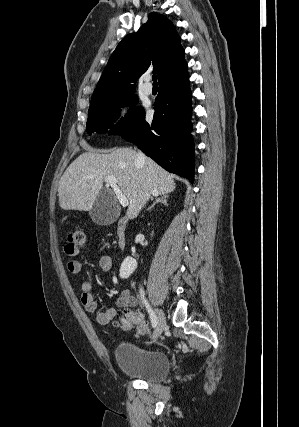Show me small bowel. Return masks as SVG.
<instances>
[{
    "instance_id": "small-bowel-1",
    "label": "small bowel",
    "mask_w": 299,
    "mask_h": 427,
    "mask_svg": "<svg viewBox=\"0 0 299 427\" xmlns=\"http://www.w3.org/2000/svg\"><path fill=\"white\" fill-rule=\"evenodd\" d=\"M66 255L68 257V260H67L68 271L73 273V274L80 273L82 266H81L80 261L77 259V254L68 255L66 253ZM98 263H99V267L104 272L110 271V269L112 267L111 259L107 255L100 256ZM81 291L82 292L80 295V302H81L83 309L88 313L94 312L96 309V301H95L94 294H93L94 286H93L92 281L83 280L81 283ZM137 304H138V300L126 290L121 291L117 300H116V305L118 308L135 307V306H137ZM137 314L142 318L143 323L147 327V324L144 320L143 314L141 312H137ZM116 315H117V310L114 308L108 309L107 311H104V312H99L96 315V322L100 325H106L110 321H112V319ZM146 332H147V330L143 327V325L137 326L136 335L138 337L143 336Z\"/></svg>"
}]
</instances>
